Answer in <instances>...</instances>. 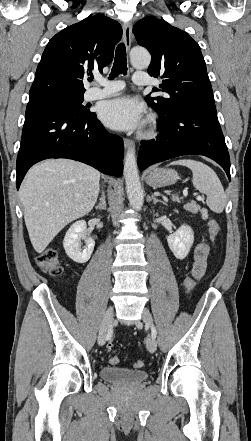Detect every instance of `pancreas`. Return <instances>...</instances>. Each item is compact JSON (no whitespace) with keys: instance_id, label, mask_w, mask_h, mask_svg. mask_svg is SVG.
Returning <instances> with one entry per match:
<instances>
[{"instance_id":"1","label":"pancreas","mask_w":251,"mask_h":441,"mask_svg":"<svg viewBox=\"0 0 251 441\" xmlns=\"http://www.w3.org/2000/svg\"><path fill=\"white\" fill-rule=\"evenodd\" d=\"M184 209L188 212L196 214L199 212L200 206H198L195 201H192L190 203L185 204Z\"/></svg>"}]
</instances>
